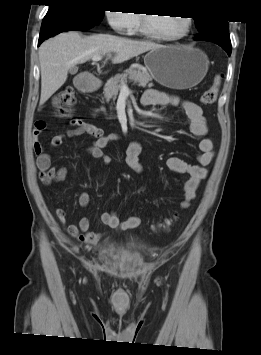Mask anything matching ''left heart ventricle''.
<instances>
[{"label":"left heart ventricle","mask_w":261,"mask_h":355,"mask_svg":"<svg viewBox=\"0 0 261 355\" xmlns=\"http://www.w3.org/2000/svg\"><path fill=\"white\" fill-rule=\"evenodd\" d=\"M148 25L156 33L165 36H176L185 28L183 17L147 14Z\"/></svg>","instance_id":"left-heart-ventricle-1"}]
</instances>
